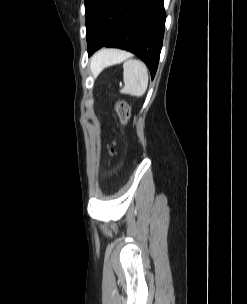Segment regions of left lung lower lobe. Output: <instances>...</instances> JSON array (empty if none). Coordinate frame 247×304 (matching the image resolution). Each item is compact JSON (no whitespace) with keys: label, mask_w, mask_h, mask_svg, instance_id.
<instances>
[{"label":"left lung lower lobe","mask_w":247,"mask_h":304,"mask_svg":"<svg viewBox=\"0 0 247 304\" xmlns=\"http://www.w3.org/2000/svg\"><path fill=\"white\" fill-rule=\"evenodd\" d=\"M164 0H103L86 24L88 55L102 46L139 56L155 76L162 48L166 14Z\"/></svg>","instance_id":"0a47b994"}]
</instances>
